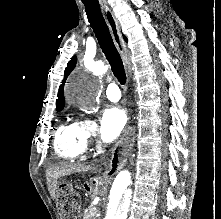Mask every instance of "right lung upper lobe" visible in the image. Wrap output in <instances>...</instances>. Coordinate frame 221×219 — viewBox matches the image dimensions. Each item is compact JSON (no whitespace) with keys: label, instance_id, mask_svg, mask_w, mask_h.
<instances>
[{"label":"right lung upper lobe","instance_id":"right-lung-upper-lobe-1","mask_svg":"<svg viewBox=\"0 0 221 219\" xmlns=\"http://www.w3.org/2000/svg\"><path fill=\"white\" fill-rule=\"evenodd\" d=\"M124 39L127 41V38L125 36H124ZM76 61H77L76 56L72 57V59L69 61V63L67 64V67L65 69V77L62 81V84L59 87L58 99L56 100V110L57 111H61L64 107V104H65V98H64V93H63L64 84H65L66 78L71 73V71L74 69Z\"/></svg>","mask_w":221,"mask_h":219}]
</instances>
